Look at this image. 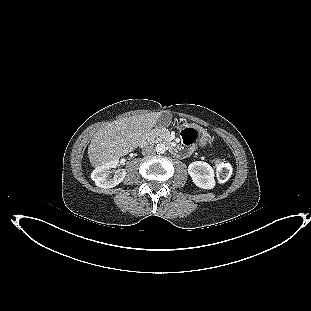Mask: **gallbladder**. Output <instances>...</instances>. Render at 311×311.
Here are the masks:
<instances>
[{
  "label": "gallbladder",
  "instance_id": "bac80fb5",
  "mask_svg": "<svg viewBox=\"0 0 311 311\" xmlns=\"http://www.w3.org/2000/svg\"><path fill=\"white\" fill-rule=\"evenodd\" d=\"M171 113L163 112L157 120V125L160 127L168 126L171 123Z\"/></svg>",
  "mask_w": 311,
  "mask_h": 311
}]
</instances>
